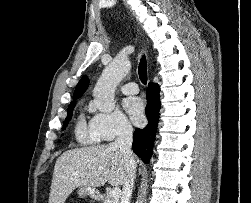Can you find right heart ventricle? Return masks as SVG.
<instances>
[{
    "label": "right heart ventricle",
    "instance_id": "right-heart-ventricle-1",
    "mask_svg": "<svg viewBox=\"0 0 251 203\" xmlns=\"http://www.w3.org/2000/svg\"><path fill=\"white\" fill-rule=\"evenodd\" d=\"M74 134L77 142L84 145L96 144L100 140L97 134L91 129L90 125L86 124L83 115H80L76 122Z\"/></svg>",
    "mask_w": 251,
    "mask_h": 203
}]
</instances>
